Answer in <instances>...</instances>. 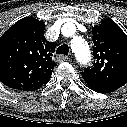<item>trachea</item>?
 Instances as JSON below:
<instances>
[{"mask_svg": "<svg viewBox=\"0 0 127 127\" xmlns=\"http://www.w3.org/2000/svg\"><path fill=\"white\" fill-rule=\"evenodd\" d=\"M68 52H69V47L66 44L59 46L58 49L56 50L57 54L68 55Z\"/></svg>", "mask_w": 127, "mask_h": 127, "instance_id": "3493384b", "label": "trachea"}]
</instances>
